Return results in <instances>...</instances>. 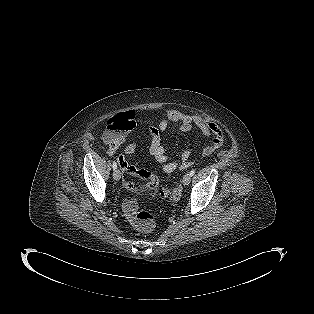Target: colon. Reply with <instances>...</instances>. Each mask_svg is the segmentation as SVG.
I'll return each instance as SVG.
<instances>
[{"mask_svg":"<svg viewBox=\"0 0 314 314\" xmlns=\"http://www.w3.org/2000/svg\"><path fill=\"white\" fill-rule=\"evenodd\" d=\"M135 127V113L126 111L108 120L103 139L107 144H113L125 137V134ZM148 176L145 173H142ZM150 183L147 189L156 196L166 197L168 189L158 183V181L149 176ZM132 190L139 191L141 188L136 185L131 186ZM123 212L130 224L138 231L148 233L152 231L155 225L154 216L148 211L139 210L137 200L134 197H127L123 202Z\"/></svg>","mask_w":314,"mask_h":314,"instance_id":"colon-1","label":"colon"}]
</instances>
